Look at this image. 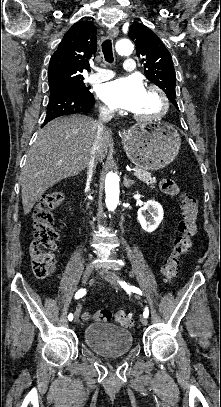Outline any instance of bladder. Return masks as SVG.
<instances>
[{"instance_id": "31cf9c89", "label": "bladder", "mask_w": 221, "mask_h": 407, "mask_svg": "<svg viewBox=\"0 0 221 407\" xmlns=\"http://www.w3.org/2000/svg\"><path fill=\"white\" fill-rule=\"evenodd\" d=\"M83 336L92 351L108 358L126 354L133 345V334L129 328L106 322L89 324Z\"/></svg>"}]
</instances>
